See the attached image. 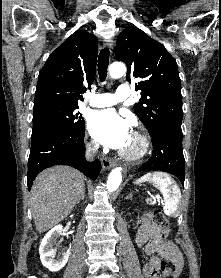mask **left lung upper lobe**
<instances>
[{
    "instance_id": "left-lung-upper-lobe-1",
    "label": "left lung upper lobe",
    "mask_w": 221,
    "mask_h": 278,
    "mask_svg": "<svg viewBox=\"0 0 221 278\" xmlns=\"http://www.w3.org/2000/svg\"><path fill=\"white\" fill-rule=\"evenodd\" d=\"M116 59L127 65V80L141 98L134 111L150 135L164 127L181 129V83L175 59L164 45L137 27H127L118 36Z\"/></svg>"
}]
</instances>
